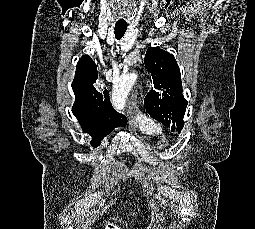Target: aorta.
<instances>
[{
    "label": "aorta",
    "instance_id": "obj_1",
    "mask_svg": "<svg viewBox=\"0 0 255 229\" xmlns=\"http://www.w3.org/2000/svg\"><path fill=\"white\" fill-rule=\"evenodd\" d=\"M137 80V74L135 72L123 75L120 79L114 82L112 91V105L117 111H122L126 104L127 96Z\"/></svg>",
    "mask_w": 255,
    "mask_h": 229
}]
</instances>
